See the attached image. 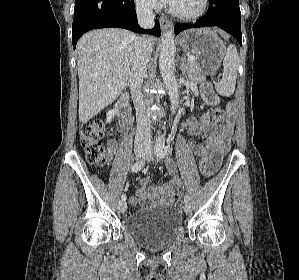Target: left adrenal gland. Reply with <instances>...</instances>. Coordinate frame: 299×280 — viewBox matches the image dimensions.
Returning <instances> with one entry per match:
<instances>
[{"instance_id": "a2214340", "label": "left adrenal gland", "mask_w": 299, "mask_h": 280, "mask_svg": "<svg viewBox=\"0 0 299 280\" xmlns=\"http://www.w3.org/2000/svg\"><path fill=\"white\" fill-rule=\"evenodd\" d=\"M180 69L183 75H186V68H185V57L183 56L180 63Z\"/></svg>"}]
</instances>
